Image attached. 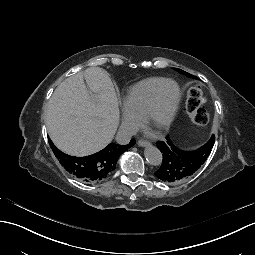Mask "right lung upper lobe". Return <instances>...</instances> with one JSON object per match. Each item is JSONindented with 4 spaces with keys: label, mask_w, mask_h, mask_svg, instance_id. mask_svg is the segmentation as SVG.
<instances>
[{
    "label": "right lung upper lobe",
    "mask_w": 255,
    "mask_h": 255,
    "mask_svg": "<svg viewBox=\"0 0 255 255\" xmlns=\"http://www.w3.org/2000/svg\"><path fill=\"white\" fill-rule=\"evenodd\" d=\"M49 144L59 162L69 173L75 175L82 181L92 183L107 177L115 169L119 156L128 148L132 147L134 145V141L131 140L127 145L111 143L103 150L93 154L94 158H98L100 160V172L93 175L91 178H86L84 176L85 170L83 169V157H75L63 153L50 139Z\"/></svg>",
    "instance_id": "cb5924a9"
}]
</instances>
